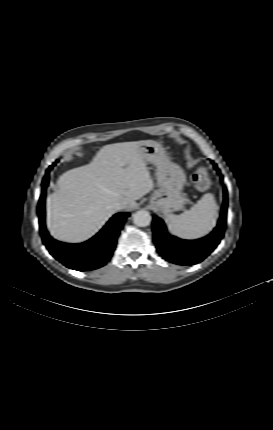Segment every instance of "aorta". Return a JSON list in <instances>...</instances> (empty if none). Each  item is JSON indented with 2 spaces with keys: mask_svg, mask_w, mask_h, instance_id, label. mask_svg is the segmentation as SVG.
Masks as SVG:
<instances>
[{
  "mask_svg": "<svg viewBox=\"0 0 273 430\" xmlns=\"http://www.w3.org/2000/svg\"><path fill=\"white\" fill-rule=\"evenodd\" d=\"M151 215L148 211L139 210L133 214V222L140 227L148 226L151 223Z\"/></svg>",
  "mask_w": 273,
  "mask_h": 430,
  "instance_id": "1",
  "label": "aorta"
}]
</instances>
